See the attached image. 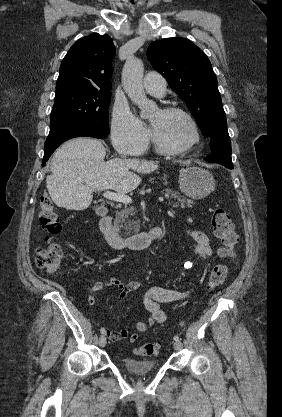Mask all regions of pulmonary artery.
Masks as SVG:
<instances>
[{
  "label": "pulmonary artery",
  "instance_id": "1",
  "mask_svg": "<svg viewBox=\"0 0 282 417\" xmlns=\"http://www.w3.org/2000/svg\"><path fill=\"white\" fill-rule=\"evenodd\" d=\"M143 87L149 94L161 97L166 89V81L160 74L151 72L145 75Z\"/></svg>",
  "mask_w": 282,
  "mask_h": 417
}]
</instances>
